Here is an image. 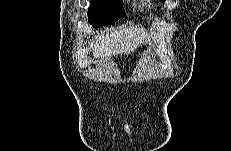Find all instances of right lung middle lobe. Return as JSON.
<instances>
[{"instance_id": "obj_1", "label": "right lung middle lobe", "mask_w": 231, "mask_h": 151, "mask_svg": "<svg viewBox=\"0 0 231 151\" xmlns=\"http://www.w3.org/2000/svg\"><path fill=\"white\" fill-rule=\"evenodd\" d=\"M88 22L93 27L114 24L124 16L122 0H90Z\"/></svg>"}]
</instances>
